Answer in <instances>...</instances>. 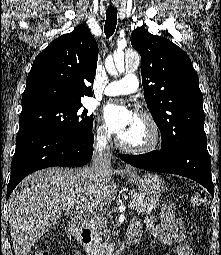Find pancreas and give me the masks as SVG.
Listing matches in <instances>:
<instances>
[{
    "label": "pancreas",
    "mask_w": 221,
    "mask_h": 255,
    "mask_svg": "<svg viewBox=\"0 0 221 255\" xmlns=\"http://www.w3.org/2000/svg\"><path fill=\"white\" fill-rule=\"evenodd\" d=\"M129 198L130 203L135 204L134 209L141 214H150L153 210H156L157 206L159 205V202L156 199H149L142 193L135 190L129 191ZM91 224L97 229H105V225L100 219L93 220ZM104 232H106V230H104ZM98 247L99 246L97 245L96 247H93V249L89 248V250L91 251Z\"/></svg>",
    "instance_id": "pancreas-1"
}]
</instances>
